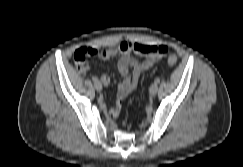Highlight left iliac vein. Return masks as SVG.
I'll return each mask as SVG.
<instances>
[{"label": "left iliac vein", "instance_id": "obj_1", "mask_svg": "<svg viewBox=\"0 0 243 167\" xmlns=\"http://www.w3.org/2000/svg\"><path fill=\"white\" fill-rule=\"evenodd\" d=\"M158 92V85L156 83L152 84L149 88V93L151 96L156 95Z\"/></svg>", "mask_w": 243, "mask_h": 167}]
</instances>
